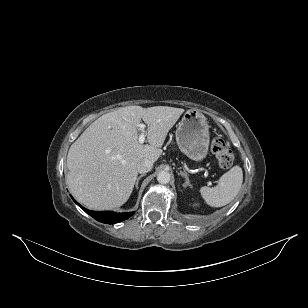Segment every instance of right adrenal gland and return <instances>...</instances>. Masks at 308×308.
Instances as JSON below:
<instances>
[{"label":"right adrenal gland","mask_w":308,"mask_h":308,"mask_svg":"<svg viewBox=\"0 0 308 308\" xmlns=\"http://www.w3.org/2000/svg\"><path fill=\"white\" fill-rule=\"evenodd\" d=\"M143 176H145V175L142 174V175H140V176L137 178L136 184H135L136 189H138L139 180H140Z\"/></svg>","instance_id":"1"}]
</instances>
